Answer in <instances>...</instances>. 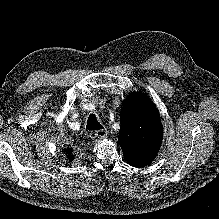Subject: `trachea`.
Segmentation results:
<instances>
[{
  "instance_id": "trachea-1",
  "label": "trachea",
  "mask_w": 219,
  "mask_h": 219,
  "mask_svg": "<svg viewBox=\"0 0 219 219\" xmlns=\"http://www.w3.org/2000/svg\"><path fill=\"white\" fill-rule=\"evenodd\" d=\"M87 130H100L104 129L103 125L97 120L94 114H91L87 120Z\"/></svg>"
}]
</instances>
